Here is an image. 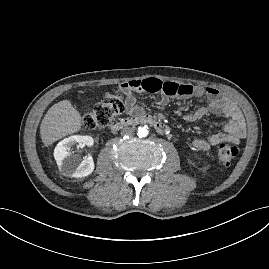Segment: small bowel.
Instances as JSON below:
<instances>
[{"mask_svg": "<svg viewBox=\"0 0 269 269\" xmlns=\"http://www.w3.org/2000/svg\"><path fill=\"white\" fill-rule=\"evenodd\" d=\"M121 89L127 92L126 112L133 115L141 114L143 110L133 93H160L161 97L157 104L161 106L168 104L171 98L206 97L208 105L199 108L194 114L188 115L187 120L199 122L208 113H212L216 115L222 114L227 117L228 121L221 132L195 138L192 145L197 151H208L211 146L225 141L239 143L246 135L245 121L241 111L215 88L163 82L157 78H148L125 82L122 84Z\"/></svg>", "mask_w": 269, "mask_h": 269, "instance_id": "1", "label": "small bowel"}]
</instances>
